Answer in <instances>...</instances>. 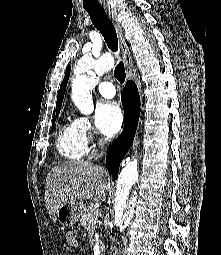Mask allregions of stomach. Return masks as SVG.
<instances>
[{"label":"stomach","instance_id":"0dacf381","mask_svg":"<svg viewBox=\"0 0 221 255\" xmlns=\"http://www.w3.org/2000/svg\"><path fill=\"white\" fill-rule=\"evenodd\" d=\"M84 209L82 200H69L57 210L56 219L64 226L73 225L82 217Z\"/></svg>","mask_w":221,"mask_h":255}]
</instances>
